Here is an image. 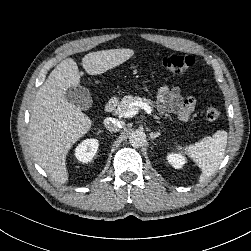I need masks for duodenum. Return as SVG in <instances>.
Masks as SVG:
<instances>
[{
  "instance_id": "1",
  "label": "duodenum",
  "mask_w": 251,
  "mask_h": 251,
  "mask_svg": "<svg viewBox=\"0 0 251 251\" xmlns=\"http://www.w3.org/2000/svg\"><path fill=\"white\" fill-rule=\"evenodd\" d=\"M116 106H117V99L112 98L104 105V111L106 113H110L115 109Z\"/></svg>"
}]
</instances>
